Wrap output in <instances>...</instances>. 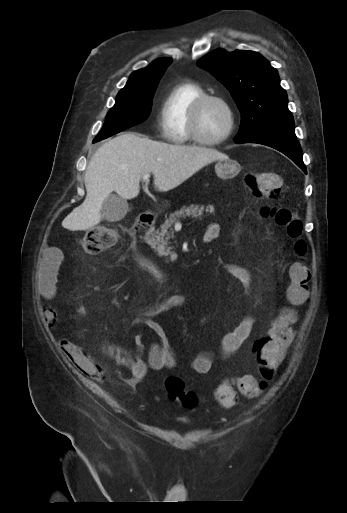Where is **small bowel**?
Wrapping results in <instances>:
<instances>
[{
    "label": "small bowel",
    "mask_w": 347,
    "mask_h": 513,
    "mask_svg": "<svg viewBox=\"0 0 347 513\" xmlns=\"http://www.w3.org/2000/svg\"><path fill=\"white\" fill-rule=\"evenodd\" d=\"M235 230L236 234L239 235L247 233V229L243 225H237ZM206 235H214V239H217L220 235V226L217 223L209 224L206 228ZM60 261V254L55 250L47 256L39 269L38 289L46 300H53L56 297L57 274ZM226 268L231 275L239 280L244 288L249 290L252 287V275L247 269L235 264H229ZM189 302V297L186 294L177 293L160 301L144 315L133 319V322L145 324L158 337V342L147 346L145 337L138 335L134 338V351L115 345H109L106 348V353L109 357L131 372L132 377L128 382L129 385H136L145 377L148 370L158 371L176 368L177 360L169 336L164 327L154 318L175 307L186 306ZM77 310L81 315L88 313V308L84 304H78ZM44 316L46 321L52 325L57 319V312L54 308L47 307ZM254 322V316L248 314L232 331L222 337L221 355L224 358L231 357L242 348L251 335ZM259 342L255 343V349L258 348ZM60 346L63 352L76 363L81 371L93 377H100L101 373L98 367L89 361L76 345L63 340ZM144 352L147 354L145 359L143 358ZM214 357L215 353L213 351H200L192 357L191 368L196 373L206 374L212 369Z\"/></svg>",
    "instance_id": "obj_1"
}]
</instances>
